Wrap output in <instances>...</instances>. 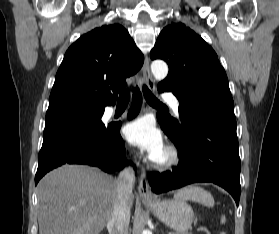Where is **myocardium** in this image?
<instances>
[{
	"instance_id": "obj_1",
	"label": "myocardium",
	"mask_w": 279,
	"mask_h": 234,
	"mask_svg": "<svg viewBox=\"0 0 279 234\" xmlns=\"http://www.w3.org/2000/svg\"><path fill=\"white\" fill-rule=\"evenodd\" d=\"M180 160V155L178 150L174 146H168L164 149L162 157L154 160V164L159 169H169Z\"/></svg>"
}]
</instances>
